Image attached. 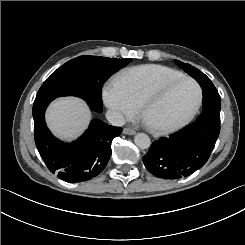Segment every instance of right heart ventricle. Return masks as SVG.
Returning <instances> with one entry per match:
<instances>
[{
  "mask_svg": "<svg viewBox=\"0 0 245 245\" xmlns=\"http://www.w3.org/2000/svg\"><path fill=\"white\" fill-rule=\"evenodd\" d=\"M182 73L160 65H144L133 68L112 81V85L123 90L130 100L138 105L144 89L152 82L181 76ZM163 88V87H162Z\"/></svg>",
  "mask_w": 245,
  "mask_h": 245,
  "instance_id": "e07e8e85",
  "label": "right heart ventricle"
}]
</instances>
